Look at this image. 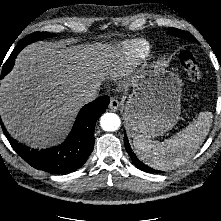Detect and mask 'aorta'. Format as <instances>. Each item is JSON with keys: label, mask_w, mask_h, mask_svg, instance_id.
Masks as SVG:
<instances>
[{"label": "aorta", "mask_w": 221, "mask_h": 221, "mask_svg": "<svg viewBox=\"0 0 221 221\" xmlns=\"http://www.w3.org/2000/svg\"><path fill=\"white\" fill-rule=\"evenodd\" d=\"M100 125L103 130L113 132L119 129L121 121L117 114L105 113L100 119Z\"/></svg>", "instance_id": "1"}]
</instances>
